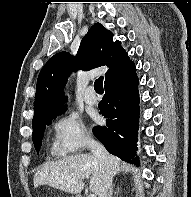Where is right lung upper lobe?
<instances>
[{
  "mask_svg": "<svg viewBox=\"0 0 191 197\" xmlns=\"http://www.w3.org/2000/svg\"><path fill=\"white\" fill-rule=\"evenodd\" d=\"M107 66L105 83L119 77L134 67L119 41L113 42V34L100 23L93 25L83 37L76 57L59 52L51 57L41 69L37 79L32 126L54 116L66 107L63 95L70 72L78 68L90 70Z\"/></svg>",
  "mask_w": 191,
  "mask_h": 197,
  "instance_id": "right-lung-upper-lobe-1",
  "label": "right lung upper lobe"
}]
</instances>
